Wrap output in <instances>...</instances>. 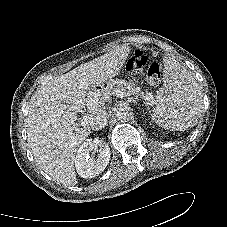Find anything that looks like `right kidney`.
<instances>
[{"label":"right kidney","mask_w":227,"mask_h":227,"mask_svg":"<svg viewBox=\"0 0 227 227\" xmlns=\"http://www.w3.org/2000/svg\"><path fill=\"white\" fill-rule=\"evenodd\" d=\"M94 149L91 140L84 142L78 149L75 158V167L77 173L82 178H93L104 171L110 160V148L108 144L103 143L99 149L98 158L90 157V152Z\"/></svg>","instance_id":"ca27d5eb"}]
</instances>
